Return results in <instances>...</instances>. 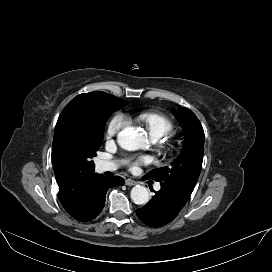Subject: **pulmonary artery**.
<instances>
[{"label": "pulmonary artery", "instance_id": "obj_1", "mask_svg": "<svg viewBox=\"0 0 272 272\" xmlns=\"http://www.w3.org/2000/svg\"><path fill=\"white\" fill-rule=\"evenodd\" d=\"M153 141H157L158 138H152ZM98 169L101 172H105V171H113L118 167V164L114 161H106V160H101L98 162ZM156 190H160V185H156L155 186Z\"/></svg>", "mask_w": 272, "mask_h": 272}]
</instances>
